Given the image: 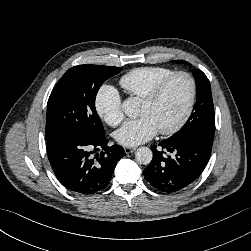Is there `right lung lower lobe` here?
<instances>
[{
    "label": "right lung lower lobe",
    "instance_id": "1",
    "mask_svg": "<svg viewBox=\"0 0 251 251\" xmlns=\"http://www.w3.org/2000/svg\"><path fill=\"white\" fill-rule=\"evenodd\" d=\"M46 142L57 179L66 189L84 195L105 189L118 160L126 155L121 146H108L104 135L82 131L62 132Z\"/></svg>",
    "mask_w": 251,
    "mask_h": 251
}]
</instances>
